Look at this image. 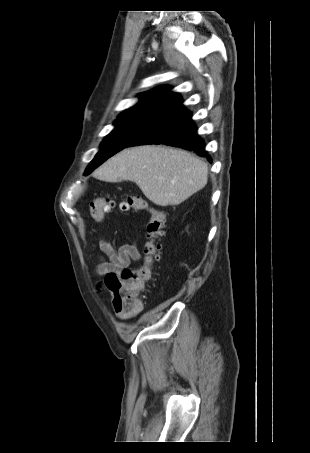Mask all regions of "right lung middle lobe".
Listing matches in <instances>:
<instances>
[{"label": "right lung middle lobe", "mask_w": 310, "mask_h": 453, "mask_svg": "<svg viewBox=\"0 0 310 453\" xmlns=\"http://www.w3.org/2000/svg\"><path fill=\"white\" fill-rule=\"evenodd\" d=\"M157 118L155 117H119L115 129L107 135L100 145V150L89 164L85 175L92 172L107 158L124 149Z\"/></svg>", "instance_id": "obj_1"}]
</instances>
